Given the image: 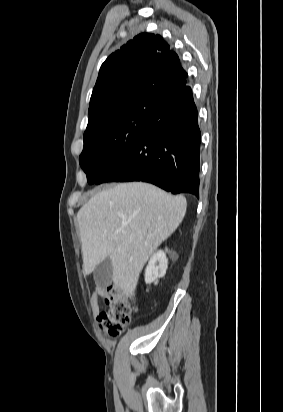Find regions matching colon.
<instances>
[{"label": "colon", "instance_id": "1", "mask_svg": "<svg viewBox=\"0 0 283 412\" xmlns=\"http://www.w3.org/2000/svg\"><path fill=\"white\" fill-rule=\"evenodd\" d=\"M107 309L98 318L99 329L110 338H119L130 322L129 305L125 293L110 287L105 297Z\"/></svg>", "mask_w": 283, "mask_h": 412}]
</instances>
